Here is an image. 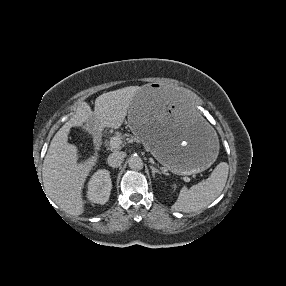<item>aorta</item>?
<instances>
[{"label":"aorta","instance_id":"aorta-1","mask_svg":"<svg viewBox=\"0 0 286 286\" xmlns=\"http://www.w3.org/2000/svg\"><path fill=\"white\" fill-rule=\"evenodd\" d=\"M128 165L133 170H141L143 168V161L138 155H133L129 157Z\"/></svg>","mask_w":286,"mask_h":286}]
</instances>
